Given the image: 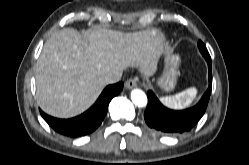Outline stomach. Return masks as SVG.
I'll return each instance as SVG.
<instances>
[{
    "label": "stomach",
    "mask_w": 249,
    "mask_h": 165,
    "mask_svg": "<svg viewBox=\"0 0 249 165\" xmlns=\"http://www.w3.org/2000/svg\"><path fill=\"white\" fill-rule=\"evenodd\" d=\"M166 68L163 76L159 79L158 85L165 91H172L176 85V77L178 74V65L180 57L176 54H165L164 56Z\"/></svg>",
    "instance_id": "1"
}]
</instances>
